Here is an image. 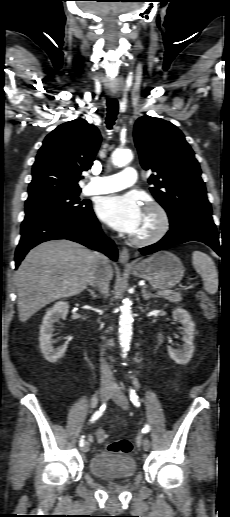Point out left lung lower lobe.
Wrapping results in <instances>:
<instances>
[{
  "mask_svg": "<svg viewBox=\"0 0 230 517\" xmlns=\"http://www.w3.org/2000/svg\"><path fill=\"white\" fill-rule=\"evenodd\" d=\"M188 241L203 242L219 255L222 254V248L218 241L217 230L212 216L194 217L184 221L179 226L170 227L163 239L153 245L140 248L139 251L141 254L147 255Z\"/></svg>",
  "mask_w": 230,
  "mask_h": 517,
  "instance_id": "1",
  "label": "left lung lower lobe"
}]
</instances>
